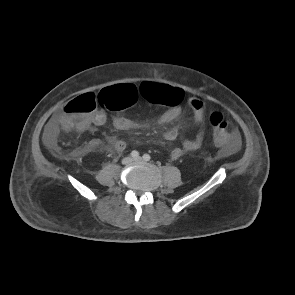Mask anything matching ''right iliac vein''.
Segmentation results:
<instances>
[{
	"label": "right iliac vein",
	"mask_w": 295,
	"mask_h": 295,
	"mask_svg": "<svg viewBox=\"0 0 295 295\" xmlns=\"http://www.w3.org/2000/svg\"><path fill=\"white\" fill-rule=\"evenodd\" d=\"M123 164L127 165L130 164L132 162V158L131 157H126L123 159Z\"/></svg>",
	"instance_id": "obj_1"
}]
</instances>
